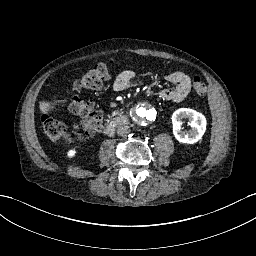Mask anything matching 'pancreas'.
Masks as SVG:
<instances>
[{
  "label": "pancreas",
  "instance_id": "cf45deb5",
  "mask_svg": "<svg viewBox=\"0 0 256 256\" xmlns=\"http://www.w3.org/2000/svg\"><path fill=\"white\" fill-rule=\"evenodd\" d=\"M116 112H114L112 114V116H115ZM119 116L114 118L112 121L106 120L107 122H110L112 124L118 125V124H126L127 123V116L126 115H122L121 113L118 114ZM109 118H111V116H109Z\"/></svg>",
  "mask_w": 256,
  "mask_h": 256
}]
</instances>
